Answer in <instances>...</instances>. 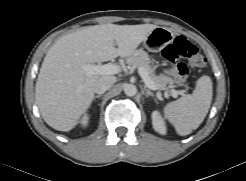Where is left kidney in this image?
I'll return each mask as SVG.
<instances>
[{"label":"left kidney","instance_id":"left-kidney-1","mask_svg":"<svg viewBox=\"0 0 246 181\" xmlns=\"http://www.w3.org/2000/svg\"><path fill=\"white\" fill-rule=\"evenodd\" d=\"M152 124L155 131L160 134L166 133V125L158 111H154L152 113Z\"/></svg>","mask_w":246,"mask_h":181}]
</instances>
